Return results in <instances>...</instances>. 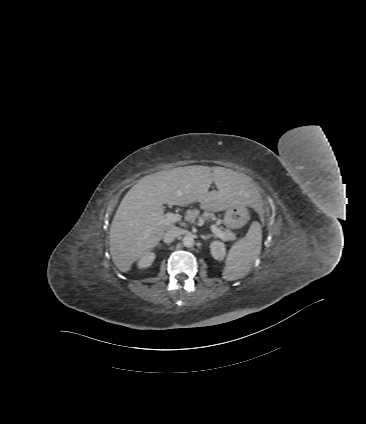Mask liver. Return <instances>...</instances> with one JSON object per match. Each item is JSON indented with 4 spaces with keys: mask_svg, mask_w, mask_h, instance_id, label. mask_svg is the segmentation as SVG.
I'll return each instance as SVG.
<instances>
[{
    "mask_svg": "<svg viewBox=\"0 0 366 424\" xmlns=\"http://www.w3.org/2000/svg\"><path fill=\"white\" fill-rule=\"evenodd\" d=\"M214 183L217 190L209 191ZM198 202L205 212L250 206L263 213L257 187L244 174L223 167L185 166L151 174L122 199L110 228V254L121 272L159 244L173 224H161L163 204L187 206ZM197 214V212H196Z\"/></svg>",
    "mask_w": 366,
    "mask_h": 424,
    "instance_id": "1",
    "label": "liver"
}]
</instances>
